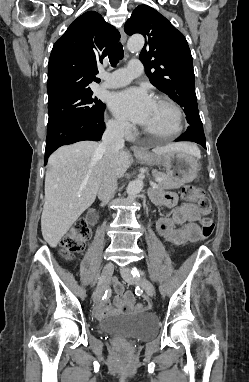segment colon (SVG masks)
<instances>
[{
  "label": "colon",
  "mask_w": 249,
  "mask_h": 382,
  "mask_svg": "<svg viewBox=\"0 0 249 382\" xmlns=\"http://www.w3.org/2000/svg\"><path fill=\"white\" fill-rule=\"evenodd\" d=\"M182 199L188 204H197L203 213L201 220V234L200 239H208L214 230V221L209 216L212 210V204L208 197H206L201 188L195 185H187L182 189ZM91 234V228L86 220L76 222L71 231L65 235L60 241L61 253L66 259L73 258L76 254L83 251L85 242ZM135 308L138 311H143L145 306L143 304H136Z\"/></svg>",
  "instance_id": "colon-1"
}]
</instances>
